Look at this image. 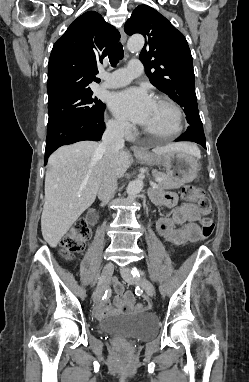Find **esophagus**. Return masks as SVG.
<instances>
[{"label": "esophagus", "instance_id": "34e87169", "mask_svg": "<svg viewBox=\"0 0 249 382\" xmlns=\"http://www.w3.org/2000/svg\"><path fill=\"white\" fill-rule=\"evenodd\" d=\"M120 35H121V42L123 44H125L126 40H127V36H126L123 29H120ZM131 149H132L133 153H135V154H144V152H145L144 149H142L141 147H139L137 145H133L131 147Z\"/></svg>", "mask_w": 249, "mask_h": 382}]
</instances>
